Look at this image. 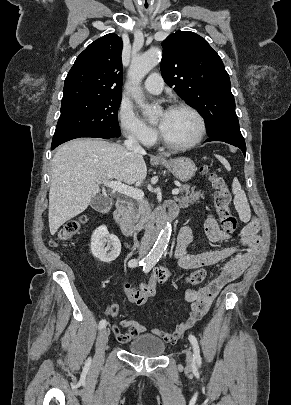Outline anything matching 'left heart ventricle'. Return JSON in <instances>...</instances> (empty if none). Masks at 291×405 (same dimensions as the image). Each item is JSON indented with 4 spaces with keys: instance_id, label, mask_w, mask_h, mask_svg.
Segmentation results:
<instances>
[{
    "instance_id": "1",
    "label": "left heart ventricle",
    "mask_w": 291,
    "mask_h": 405,
    "mask_svg": "<svg viewBox=\"0 0 291 405\" xmlns=\"http://www.w3.org/2000/svg\"><path fill=\"white\" fill-rule=\"evenodd\" d=\"M159 129L167 140L176 144L191 141L198 133V121L189 111L184 109L165 111L156 120Z\"/></svg>"
}]
</instances>
